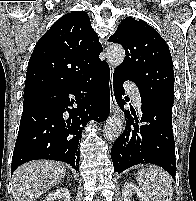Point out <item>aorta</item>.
<instances>
[{"label":"aorta","mask_w":196,"mask_h":201,"mask_svg":"<svg viewBox=\"0 0 196 201\" xmlns=\"http://www.w3.org/2000/svg\"><path fill=\"white\" fill-rule=\"evenodd\" d=\"M107 61L112 67H118L125 58V50L121 45H110L106 51ZM123 129V116L115 114L108 118L104 126V136L107 140H116Z\"/></svg>","instance_id":"aorta-1"}]
</instances>
